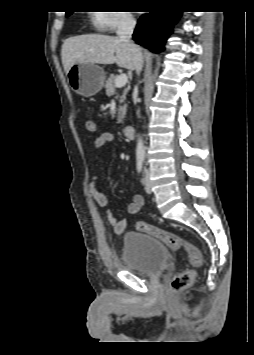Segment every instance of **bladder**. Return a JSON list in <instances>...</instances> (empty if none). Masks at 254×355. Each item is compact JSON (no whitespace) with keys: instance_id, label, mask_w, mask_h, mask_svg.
<instances>
[{"instance_id":"bladder-1","label":"bladder","mask_w":254,"mask_h":355,"mask_svg":"<svg viewBox=\"0 0 254 355\" xmlns=\"http://www.w3.org/2000/svg\"><path fill=\"white\" fill-rule=\"evenodd\" d=\"M122 259L126 268L146 277L161 276L167 269L169 253L157 238L127 232L123 236Z\"/></svg>"}]
</instances>
